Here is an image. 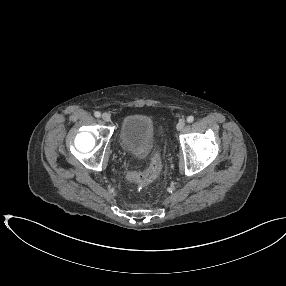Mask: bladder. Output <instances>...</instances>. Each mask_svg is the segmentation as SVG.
<instances>
[{
    "instance_id": "31cf9c89",
    "label": "bladder",
    "mask_w": 286,
    "mask_h": 286,
    "mask_svg": "<svg viewBox=\"0 0 286 286\" xmlns=\"http://www.w3.org/2000/svg\"><path fill=\"white\" fill-rule=\"evenodd\" d=\"M155 141L153 121L146 115H129L121 123L119 145L123 152L146 157Z\"/></svg>"
}]
</instances>
